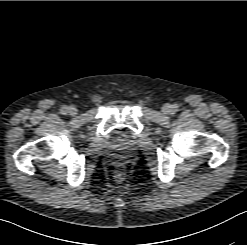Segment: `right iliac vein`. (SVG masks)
Returning <instances> with one entry per match:
<instances>
[{"instance_id": "1", "label": "right iliac vein", "mask_w": 247, "mask_h": 245, "mask_svg": "<svg viewBox=\"0 0 247 245\" xmlns=\"http://www.w3.org/2000/svg\"><path fill=\"white\" fill-rule=\"evenodd\" d=\"M78 110L75 106H69L68 107V113L71 115V116H75L77 114Z\"/></svg>"}]
</instances>
